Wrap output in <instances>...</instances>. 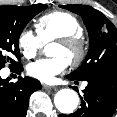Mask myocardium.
Listing matches in <instances>:
<instances>
[{
	"instance_id": "obj_1",
	"label": "myocardium",
	"mask_w": 117,
	"mask_h": 117,
	"mask_svg": "<svg viewBox=\"0 0 117 117\" xmlns=\"http://www.w3.org/2000/svg\"><path fill=\"white\" fill-rule=\"evenodd\" d=\"M56 42L70 53L69 63L71 65L78 66L84 61L87 55V47L81 37H61L58 38Z\"/></svg>"
}]
</instances>
